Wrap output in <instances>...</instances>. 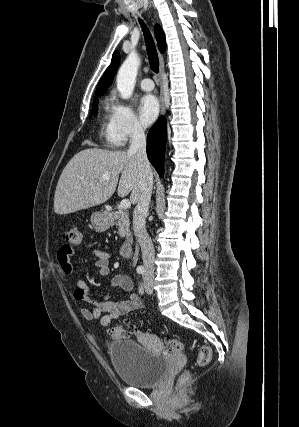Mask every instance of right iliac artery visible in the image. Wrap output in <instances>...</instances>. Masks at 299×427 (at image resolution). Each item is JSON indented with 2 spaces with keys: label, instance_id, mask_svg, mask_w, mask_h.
Segmentation results:
<instances>
[{
  "label": "right iliac artery",
  "instance_id": "82829eb1",
  "mask_svg": "<svg viewBox=\"0 0 299 427\" xmlns=\"http://www.w3.org/2000/svg\"><path fill=\"white\" fill-rule=\"evenodd\" d=\"M136 271H137L138 274H143L144 268L142 266H138L137 269H136Z\"/></svg>",
  "mask_w": 299,
  "mask_h": 427
}]
</instances>
